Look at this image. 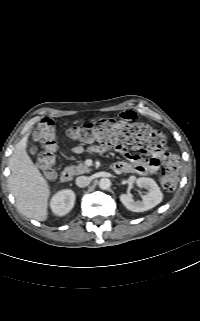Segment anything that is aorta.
<instances>
[{"label": "aorta", "mask_w": 200, "mask_h": 321, "mask_svg": "<svg viewBox=\"0 0 200 321\" xmlns=\"http://www.w3.org/2000/svg\"><path fill=\"white\" fill-rule=\"evenodd\" d=\"M111 186V181L110 179L108 178H102L100 179L99 181V187L102 189V190H107L109 189Z\"/></svg>", "instance_id": "1"}]
</instances>
